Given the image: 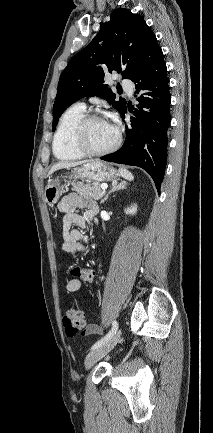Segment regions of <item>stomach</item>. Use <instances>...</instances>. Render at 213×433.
<instances>
[{
	"label": "stomach",
	"instance_id": "obj_1",
	"mask_svg": "<svg viewBox=\"0 0 213 433\" xmlns=\"http://www.w3.org/2000/svg\"><path fill=\"white\" fill-rule=\"evenodd\" d=\"M118 176V172L109 164L99 160L90 161L85 163L83 166L74 169L72 174L69 176L49 179L44 192L45 201L48 205L56 204L62 194L67 191L71 180L80 178L95 182H103L115 180Z\"/></svg>",
	"mask_w": 213,
	"mask_h": 433
}]
</instances>
